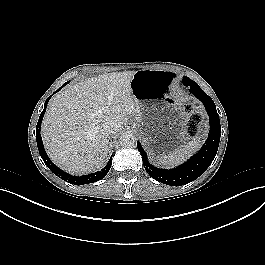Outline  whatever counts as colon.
<instances>
[{
    "label": "colon",
    "mask_w": 265,
    "mask_h": 265,
    "mask_svg": "<svg viewBox=\"0 0 265 265\" xmlns=\"http://www.w3.org/2000/svg\"><path fill=\"white\" fill-rule=\"evenodd\" d=\"M184 112L186 113V115H188L186 135L188 137H194L200 131L202 115L198 111H196L194 106H192L191 104H186L184 106Z\"/></svg>",
    "instance_id": "5ec220e1"
}]
</instances>
